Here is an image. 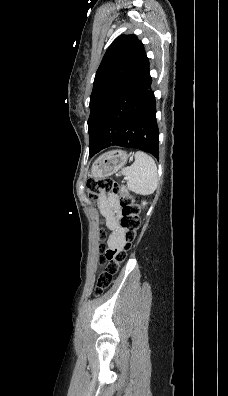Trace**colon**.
Here are the masks:
<instances>
[{
  "label": "colon",
  "instance_id": "colon-1",
  "mask_svg": "<svg viewBox=\"0 0 228 396\" xmlns=\"http://www.w3.org/2000/svg\"><path fill=\"white\" fill-rule=\"evenodd\" d=\"M87 192L89 197L96 201L103 192L116 193L120 197L122 206V217L120 225L123 231L124 244L120 249L107 248L103 259L100 263L104 266L103 272L98 278V291L100 294L104 289L108 288L113 280L114 275L119 269V264L126 257V250L132 245L137 238V230L139 227V207L133 202L128 190L119 182L112 178L94 179L87 181ZM100 236L105 239L106 234L101 231Z\"/></svg>",
  "mask_w": 228,
  "mask_h": 396
}]
</instances>
